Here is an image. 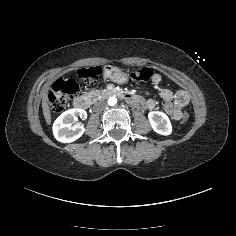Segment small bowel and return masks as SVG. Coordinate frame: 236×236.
Here are the masks:
<instances>
[{
    "label": "small bowel",
    "instance_id": "c3829d8e",
    "mask_svg": "<svg viewBox=\"0 0 236 236\" xmlns=\"http://www.w3.org/2000/svg\"><path fill=\"white\" fill-rule=\"evenodd\" d=\"M161 80V77L156 74L153 78V83H159ZM164 97L168 98L169 97V91L165 90L164 91ZM176 105L174 106V111L172 112L174 119H180L182 113L180 110V107L185 106L188 103V97L184 92H180L176 96ZM152 103V102H150ZM151 105V104H150Z\"/></svg>",
    "mask_w": 236,
    "mask_h": 236
}]
</instances>
